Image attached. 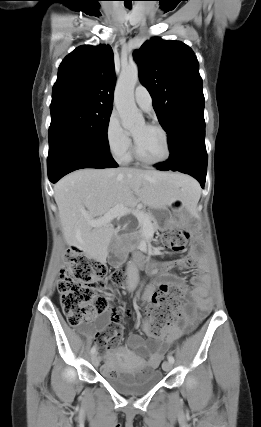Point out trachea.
I'll return each mask as SVG.
<instances>
[{
    "label": "trachea",
    "mask_w": 261,
    "mask_h": 427,
    "mask_svg": "<svg viewBox=\"0 0 261 427\" xmlns=\"http://www.w3.org/2000/svg\"><path fill=\"white\" fill-rule=\"evenodd\" d=\"M125 6H126L127 8H131V3H125Z\"/></svg>",
    "instance_id": "trachea-1"
}]
</instances>
